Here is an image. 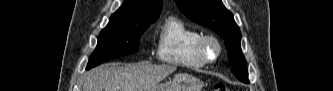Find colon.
<instances>
[{"label": "colon", "mask_w": 333, "mask_h": 91, "mask_svg": "<svg viewBox=\"0 0 333 91\" xmlns=\"http://www.w3.org/2000/svg\"><path fill=\"white\" fill-rule=\"evenodd\" d=\"M214 91H227V88L224 84L222 83H217L214 86Z\"/></svg>", "instance_id": "obj_1"}]
</instances>
